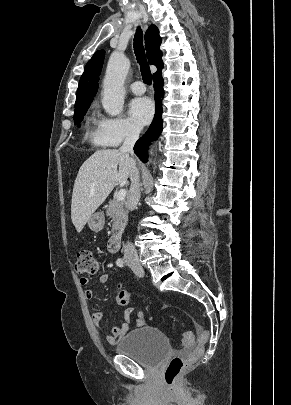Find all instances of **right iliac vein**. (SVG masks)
<instances>
[{
    "instance_id": "right-iliac-vein-1",
    "label": "right iliac vein",
    "mask_w": 291,
    "mask_h": 405,
    "mask_svg": "<svg viewBox=\"0 0 291 405\" xmlns=\"http://www.w3.org/2000/svg\"><path fill=\"white\" fill-rule=\"evenodd\" d=\"M134 266H140L139 264H134Z\"/></svg>"
}]
</instances>
